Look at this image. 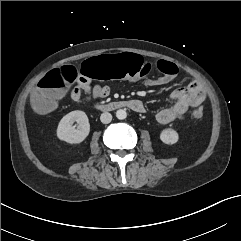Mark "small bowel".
Wrapping results in <instances>:
<instances>
[{
	"label": "small bowel",
	"instance_id": "obj_1",
	"mask_svg": "<svg viewBox=\"0 0 241 241\" xmlns=\"http://www.w3.org/2000/svg\"><path fill=\"white\" fill-rule=\"evenodd\" d=\"M172 77L163 75L156 79H148L146 84L149 86L165 85L171 81ZM110 89L105 85L91 86L90 78H78L77 85L70 91V97L76 102H84L87 100H98L109 95ZM205 90L202 83L193 80L183 87L174 89L170 94L172 105L163 108L155 113V120L160 124H168L175 120H182L190 108L199 107L205 100ZM133 109L137 112H144L143 103L138 99L130 100Z\"/></svg>",
	"mask_w": 241,
	"mask_h": 241
}]
</instances>
